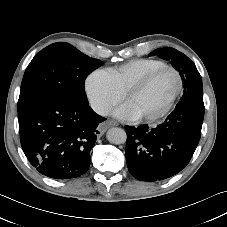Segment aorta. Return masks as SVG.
Listing matches in <instances>:
<instances>
[{
    "label": "aorta",
    "instance_id": "aorta-1",
    "mask_svg": "<svg viewBox=\"0 0 227 227\" xmlns=\"http://www.w3.org/2000/svg\"><path fill=\"white\" fill-rule=\"evenodd\" d=\"M106 137L110 143L119 145L126 142L127 135L122 128H111L107 131Z\"/></svg>",
    "mask_w": 227,
    "mask_h": 227
}]
</instances>
